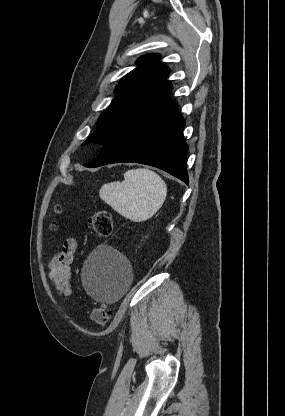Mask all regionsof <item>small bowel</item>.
I'll return each mask as SVG.
<instances>
[{"label":"small bowel","mask_w":285,"mask_h":416,"mask_svg":"<svg viewBox=\"0 0 285 416\" xmlns=\"http://www.w3.org/2000/svg\"><path fill=\"white\" fill-rule=\"evenodd\" d=\"M78 243L75 238H68L48 263V275L58 294L67 299L72 293L70 278L71 264Z\"/></svg>","instance_id":"obj_1"}]
</instances>
